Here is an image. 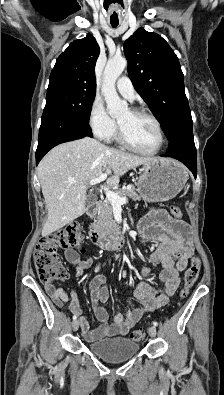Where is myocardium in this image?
I'll list each match as a JSON object with an SVG mask.
<instances>
[{
    "label": "myocardium",
    "instance_id": "myocardium-1",
    "mask_svg": "<svg viewBox=\"0 0 224 395\" xmlns=\"http://www.w3.org/2000/svg\"><path fill=\"white\" fill-rule=\"evenodd\" d=\"M129 110L134 114L146 116L154 122V124L158 130V134H159V143L154 150H150V151L138 148L128 139V137L126 136L125 132L123 131L120 123L117 121V139H118V141L125 148H127L133 152L142 154V155L153 156V155L158 154L162 150L164 143H165V135H164V131H163L161 122L153 113H151L150 111H148L145 108L132 107Z\"/></svg>",
    "mask_w": 224,
    "mask_h": 395
}]
</instances>
